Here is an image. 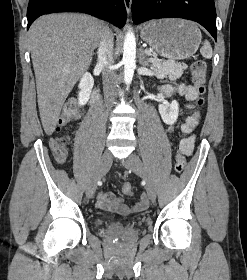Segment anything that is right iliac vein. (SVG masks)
<instances>
[{
  "mask_svg": "<svg viewBox=\"0 0 247 280\" xmlns=\"http://www.w3.org/2000/svg\"><path fill=\"white\" fill-rule=\"evenodd\" d=\"M111 164H112V155L110 152L106 151L103 153L99 161V164L97 166L95 175L87 188L86 196L88 198H92L94 196L98 181L107 173Z\"/></svg>",
  "mask_w": 247,
  "mask_h": 280,
  "instance_id": "63e3f726",
  "label": "right iliac vein"
}]
</instances>
